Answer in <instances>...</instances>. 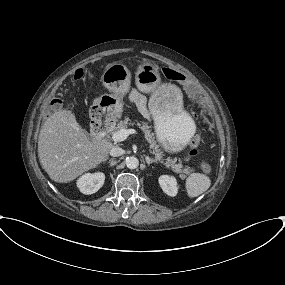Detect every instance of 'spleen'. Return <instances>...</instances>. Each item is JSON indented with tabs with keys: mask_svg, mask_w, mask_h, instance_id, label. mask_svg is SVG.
Instances as JSON below:
<instances>
[{
	"mask_svg": "<svg viewBox=\"0 0 285 285\" xmlns=\"http://www.w3.org/2000/svg\"><path fill=\"white\" fill-rule=\"evenodd\" d=\"M210 185H211V180L208 176L201 174V173H192L186 179L185 187H186L187 195L190 198H194V197L201 195L205 191H207Z\"/></svg>",
	"mask_w": 285,
	"mask_h": 285,
	"instance_id": "spleen-1",
	"label": "spleen"
}]
</instances>
